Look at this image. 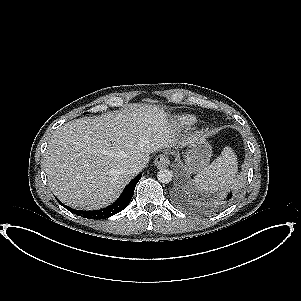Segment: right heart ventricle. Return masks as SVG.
Here are the masks:
<instances>
[{
    "instance_id": "e07e8e85",
    "label": "right heart ventricle",
    "mask_w": 301,
    "mask_h": 301,
    "mask_svg": "<svg viewBox=\"0 0 301 301\" xmlns=\"http://www.w3.org/2000/svg\"><path fill=\"white\" fill-rule=\"evenodd\" d=\"M197 122V118L193 115H181L177 118V125L181 128H188Z\"/></svg>"
}]
</instances>
